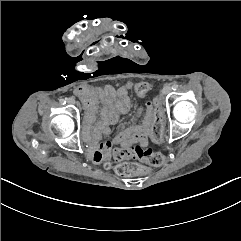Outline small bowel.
<instances>
[{
    "label": "small bowel",
    "instance_id": "1",
    "mask_svg": "<svg viewBox=\"0 0 241 241\" xmlns=\"http://www.w3.org/2000/svg\"><path fill=\"white\" fill-rule=\"evenodd\" d=\"M132 83L118 88L105 86H80L75 90L86 108V126L83 133L88 138L89 145L94 149L91 159L100 163L110 157L112 148L119 146L122 149H129L140 144H148L150 128L154 119V109L145 104V107L138 109L139 113L144 111L141 124L130 125L122 129L113 139L100 143L102 135L111 133V126L116 124L119 116L127 112L131 106L129 90ZM102 104L99 121L96 122V107Z\"/></svg>",
    "mask_w": 241,
    "mask_h": 241
}]
</instances>
